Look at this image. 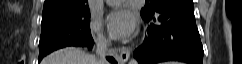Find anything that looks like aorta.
Listing matches in <instances>:
<instances>
[{"instance_id":"aorta-1","label":"aorta","mask_w":242,"mask_h":64,"mask_svg":"<svg viewBox=\"0 0 242 64\" xmlns=\"http://www.w3.org/2000/svg\"><path fill=\"white\" fill-rule=\"evenodd\" d=\"M129 64H137L136 59H131V60L129 61Z\"/></svg>"}]
</instances>
